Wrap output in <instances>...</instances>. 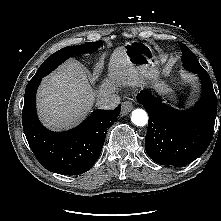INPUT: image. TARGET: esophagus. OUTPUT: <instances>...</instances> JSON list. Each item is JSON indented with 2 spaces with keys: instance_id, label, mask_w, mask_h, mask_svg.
I'll use <instances>...</instances> for the list:
<instances>
[{
  "instance_id": "esophagus-1",
  "label": "esophagus",
  "mask_w": 221,
  "mask_h": 221,
  "mask_svg": "<svg viewBox=\"0 0 221 221\" xmlns=\"http://www.w3.org/2000/svg\"><path fill=\"white\" fill-rule=\"evenodd\" d=\"M132 109H133V105L130 101L123 102L122 103V110H121L122 116L127 115Z\"/></svg>"
}]
</instances>
